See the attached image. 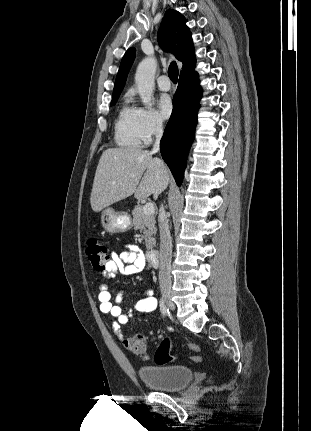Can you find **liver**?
Here are the masks:
<instances>
[{
    "label": "liver",
    "mask_w": 311,
    "mask_h": 431,
    "mask_svg": "<svg viewBox=\"0 0 311 431\" xmlns=\"http://www.w3.org/2000/svg\"><path fill=\"white\" fill-rule=\"evenodd\" d=\"M170 170L163 160L152 158L142 148H108L103 152L95 172L90 204L93 212L134 196L147 200L166 190Z\"/></svg>",
    "instance_id": "obj_1"
}]
</instances>
